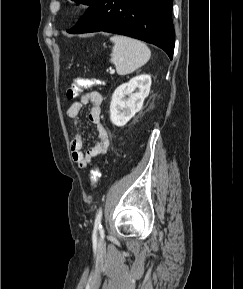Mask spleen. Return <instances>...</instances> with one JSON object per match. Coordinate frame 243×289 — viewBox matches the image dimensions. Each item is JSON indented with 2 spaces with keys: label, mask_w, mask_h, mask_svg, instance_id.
<instances>
[{
  "label": "spleen",
  "mask_w": 243,
  "mask_h": 289,
  "mask_svg": "<svg viewBox=\"0 0 243 289\" xmlns=\"http://www.w3.org/2000/svg\"><path fill=\"white\" fill-rule=\"evenodd\" d=\"M110 41L114 44L110 61L115 65L119 75L133 73L150 59V49L137 39L114 35Z\"/></svg>",
  "instance_id": "spleen-1"
}]
</instances>
